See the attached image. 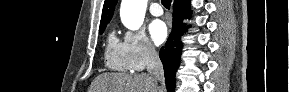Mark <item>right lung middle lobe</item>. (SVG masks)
<instances>
[{
    "instance_id": "1",
    "label": "right lung middle lobe",
    "mask_w": 289,
    "mask_h": 92,
    "mask_svg": "<svg viewBox=\"0 0 289 92\" xmlns=\"http://www.w3.org/2000/svg\"><path fill=\"white\" fill-rule=\"evenodd\" d=\"M105 28H106V25L100 26V34L103 33V31L105 30Z\"/></svg>"
}]
</instances>
